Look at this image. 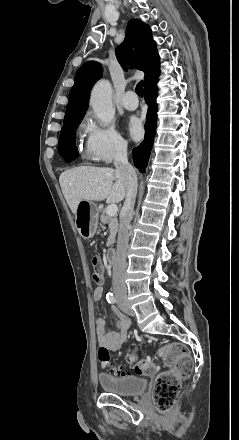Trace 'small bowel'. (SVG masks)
<instances>
[{
	"instance_id": "1",
	"label": "small bowel",
	"mask_w": 239,
	"mask_h": 440,
	"mask_svg": "<svg viewBox=\"0 0 239 440\" xmlns=\"http://www.w3.org/2000/svg\"><path fill=\"white\" fill-rule=\"evenodd\" d=\"M103 296V287L98 286L93 293V298L99 302ZM113 314L116 319L117 330L110 332L106 328L105 320L102 317L96 319V334L100 348L116 351L121 348L127 338V332L130 325L129 319L113 308Z\"/></svg>"
}]
</instances>
